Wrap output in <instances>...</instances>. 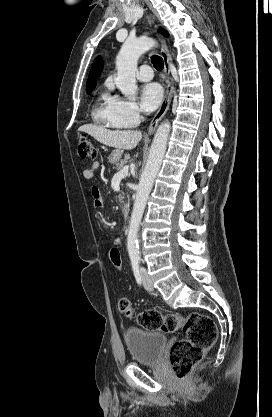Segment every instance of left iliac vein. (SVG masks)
<instances>
[{"label": "left iliac vein", "mask_w": 272, "mask_h": 417, "mask_svg": "<svg viewBox=\"0 0 272 417\" xmlns=\"http://www.w3.org/2000/svg\"><path fill=\"white\" fill-rule=\"evenodd\" d=\"M142 278H143V285H144V288L147 290V291H153V285H152V283L150 282V280L148 279V276H147V273L145 272V270H142Z\"/></svg>", "instance_id": "4c4485c4"}]
</instances>
